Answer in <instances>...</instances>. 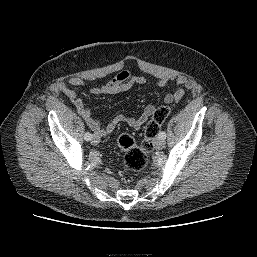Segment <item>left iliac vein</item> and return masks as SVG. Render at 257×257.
<instances>
[{
    "mask_svg": "<svg viewBox=\"0 0 257 257\" xmlns=\"http://www.w3.org/2000/svg\"><path fill=\"white\" fill-rule=\"evenodd\" d=\"M165 140L161 138H157L154 142V145L157 149H162L165 147Z\"/></svg>",
    "mask_w": 257,
    "mask_h": 257,
    "instance_id": "1",
    "label": "left iliac vein"
}]
</instances>
